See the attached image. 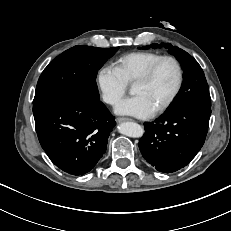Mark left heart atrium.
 Returning <instances> with one entry per match:
<instances>
[{"mask_svg":"<svg viewBox=\"0 0 231 231\" xmlns=\"http://www.w3.org/2000/svg\"><path fill=\"white\" fill-rule=\"evenodd\" d=\"M115 112L121 115H129L138 118H147L153 115L154 108L141 95L122 100L115 108Z\"/></svg>","mask_w":231,"mask_h":231,"instance_id":"left-heart-atrium-1","label":"left heart atrium"}]
</instances>
